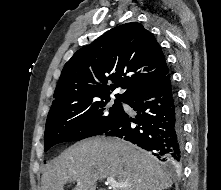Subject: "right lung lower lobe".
<instances>
[{
	"label": "right lung lower lobe",
	"mask_w": 221,
	"mask_h": 190,
	"mask_svg": "<svg viewBox=\"0 0 221 190\" xmlns=\"http://www.w3.org/2000/svg\"><path fill=\"white\" fill-rule=\"evenodd\" d=\"M125 103L137 112L136 117L132 118L124 111L121 119L104 134L130 141L150 151L168 166L179 167L183 154V129L170 74L136 91Z\"/></svg>",
	"instance_id": "1"
}]
</instances>
